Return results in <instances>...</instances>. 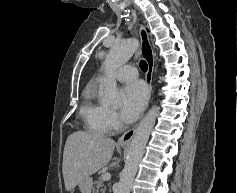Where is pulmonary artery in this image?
<instances>
[{"instance_id":"e3ab8cb5","label":"pulmonary artery","mask_w":237,"mask_h":193,"mask_svg":"<svg viewBox=\"0 0 237 193\" xmlns=\"http://www.w3.org/2000/svg\"><path fill=\"white\" fill-rule=\"evenodd\" d=\"M115 76L121 82H132L138 76V72L134 66L126 65L120 68Z\"/></svg>"}]
</instances>
